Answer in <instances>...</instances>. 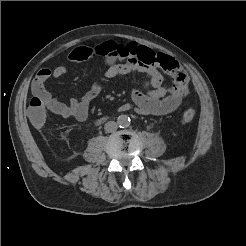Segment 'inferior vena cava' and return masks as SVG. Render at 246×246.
<instances>
[{
	"label": "inferior vena cava",
	"mask_w": 246,
	"mask_h": 246,
	"mask_svg": "<svg viewBox=\"0 0 246 246\" xmlns=\"http://www.w3.org/2000/svg\"><path fill=\"white\" fill-rule=\"evenodd\" d=\"M117 128L118 124L114 121H109L105 124V131L108 133L114 132Z\"/></svg>",
	"instance_id": "obj_1"
}]
</instances>
